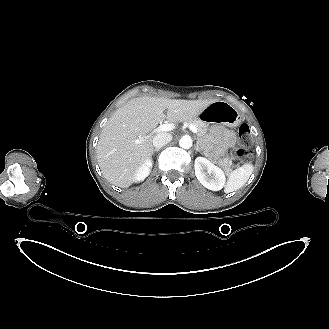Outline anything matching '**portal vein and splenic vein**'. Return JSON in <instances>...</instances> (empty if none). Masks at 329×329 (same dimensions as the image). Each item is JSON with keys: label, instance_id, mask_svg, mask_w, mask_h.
<instances>
[{"label": "portal vein and splenic vein", "instance_id": "obj_1", "mask_svg": "<svg viewBox=\"0 0 329 329\" xmlns=\"http://www.w3.org/2000/svg\"><path fill=\"white\" fill-rule=\"evenodd\" d=\"M189 128L190 130L194 133V134H197L198 133V129L196 128V126L194 125H189ZM175 129V125L173 123H167V124H163V125H160L156 131L157 132H167V131H171ZM143 141L142 138H139V139H136L135 140V143H141Z\"/></svg>", "mask_w": 329, "mask_h": 329}]
</instances>
